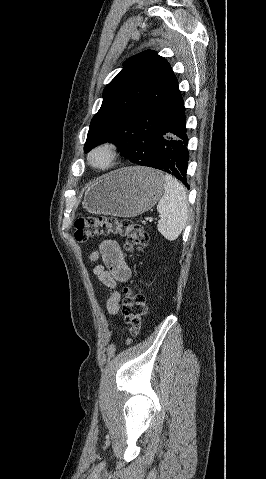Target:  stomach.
Returning a JSON list of instances; mask_svg holds the SVG:
<instances>
[{"label": "stomach", "mask_w": 266, "mask_h": 479, "mask_svg": "<svg viewBox=\"0 0 266 479\" xmlns=\"http://www.w3.org/2000/svg\"><path fill=\"white\" fill-rule=\"evenodd\" d=\"M164 187L165 178L160 171L127 167L89 186L83 205L93 214L135 217L157 203Z\"/></svg>", "instance_id": "1"}]
</instances>
